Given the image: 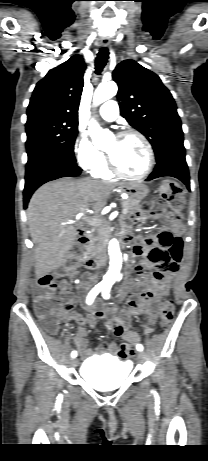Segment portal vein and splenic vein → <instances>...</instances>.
<instances>
[{
	"instance_id": "1",
	"label": "portal vein and splenic vein",
	"mask_w": 208,
	"mask_h": 461,
	"mask_svg": "<svg viewBox=\"0 0 208 461\" xmlns=\"http://www.w3.org/2000/svg\"><path fill=\"white\" fill-rule=\"evenodd\" d=\"M122 213H123V214H126V213H127V210L123 208V209H122ZM79 215H80V216H83L82 213H80ZM84 220H85L88 224H90V225H93V226L99 225L98 219L90 218V217H85ZM63 224H65V223H63Z\"/></svg>"
}]
</instances>
